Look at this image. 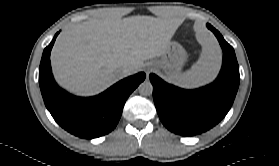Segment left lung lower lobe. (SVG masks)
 Returning a JSON list of instances; mask_svg holds the SVG:
<instances>
[{
  "label": "left lung lower lobe",
  "mask_w": 279,
  "mask_h": 166,
  "mask_svg": "<svg viewBox=\"0 0 279 166\" xmlns=\"http://www.w3.org/2000/svg\"><path fill=\"white\" fill-rule=\"evenodd\" d=\"M224 55L222 71L217 80L200 89L184 90L150 74L153 99L164 126L179 135L191 136L218 124L230 110L239 86V66L234 49L213 26Z\"/></svg>",
  "instance_id": "left-lung-lower-lobe-1"
}]
</instances>
